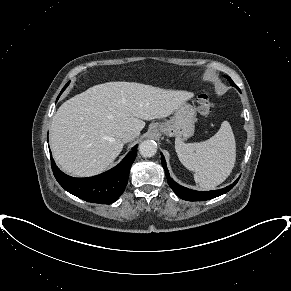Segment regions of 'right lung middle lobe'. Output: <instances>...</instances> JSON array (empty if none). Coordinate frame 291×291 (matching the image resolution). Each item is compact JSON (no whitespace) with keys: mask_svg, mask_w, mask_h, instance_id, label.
I'll return each instance as SVG.
<instances>
[{"mask_svg":"<svg viewBox=\"0 0 291 291\" xmlns=\"http://www.w3.org/2000/svg\"><path fill=\"white\" fill-rule=\"evenodd\" d=\"M67 85H68V84H67ZM67 85L63 88V90L67 87ZM63 90H62V91H63ZM61 93H62V92H61Z\"/></svg>","mask_w":291,"mask_h":291,"instance_id":"dd1d6c3e","label":"right lung middle lobe"}]
</instances>
